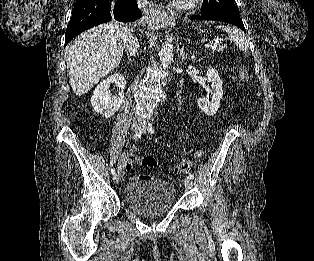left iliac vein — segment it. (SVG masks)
Masks as SVG:
<instances>
[{
	"label": "left iliac vein",
	"instance_id": "obj_1",
	"mask_svg": "<svg viewBox=\"0 0 314 261\" xmlns=\"http://www.w3.org/2000/svg\"><path fill=\"white\" fill-rule=\"evenodd\" d=\"M139 131L141 133H144L146 131V123L145 122H143L141 124V127H140ZM184 185H185V188L187 190H189V189H191L193 187V181H192V179L189 176H186L184 178Z\"/></svg>",
	"mask_w": 314,
	"mask_h": 261
}]
</instances>
